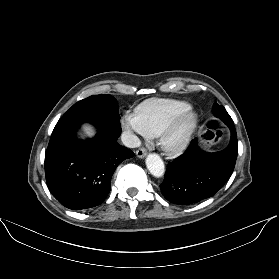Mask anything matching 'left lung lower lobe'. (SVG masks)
I'll list each match as a JSON object with an SVG mask.
<instances>
[{
    "label": "left lung lower lobe",
    "mask_w": 279,
    "mask_h": 279,
    "mask_svg": "<svg viewBox=\"0 0 279 279\" xmlns=\"http://www.w3.org/2000/svg\"><path fill=\"white\" fill-rule=\"evenodd\" d=\"M229 145L222 151L205 153L194 139L188 149L169 162L160 185L163 196L178 205H188L213 196L232 175L238 153L237 134L231 121Z\"/></svg>",
    "instance_id": "1"
}]
</instances>
